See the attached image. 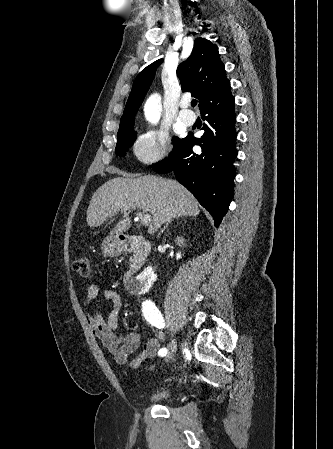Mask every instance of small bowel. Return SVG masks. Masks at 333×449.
<instances>
[{
	"instance_id": "small-bowel-1",
	"label": "small bowel",
	"mask_w": 333,
	"mask_h": 449,
	"mask_svg": "<svg viewBox=\"0 0 333 449\" xmlns=\"http://www.w3.org/2000/svg\"><path fill=\"white\" fill-rule=\"evenodd\" d=\"M98 297V286L94 284L89 285L83 308L93 335L106 348L116 364L128 365L130 369H137L145 360L155 354L159 348V341L155 338L149 339L140 352L128 361L129 355L140 347L141 337L138 333H129L124 336L117 334L122 300L116 291L107 289L103 292V297L110 303L105 314L93 309V304Z\"/></svg>"
}]
</instances>
